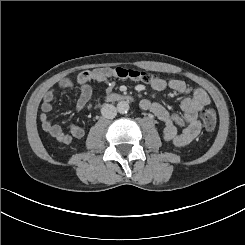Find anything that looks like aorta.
<instances>
[{
    "label": "aorta",
    "mask_w": 245,
    "mask_h": 245,
    "mask_svg": "<svg viewBox=\"0 0 245 245\" xmlns=\"http://www.w3.org/2000/svg\"><path fill=\"white\" fill-rule=\"evenodd\" d=\"M130 109L129 103L127 101H120L117 104V110L119 113L124 114L127 113Z\"/></svg>",
    "instance_id": "aorta-1"
}]
</instances>
